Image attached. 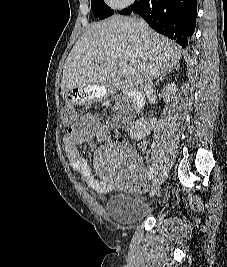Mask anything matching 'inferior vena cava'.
I'll return each instance as SVG.
<instances>
[{"label":"inferior vena cava","mask_w":227,"mask_h":267,"mask_svg":"<svg viewBox=\"0 0 227 267\" xmlns=\"http://www.w3.org/2000/svg\"><path fill=\"white\" fill-rule=\"evenodd\" d=\"M138 28L143 36L147 35L149 27L143 19H139ZM144 90H151L153 88V74H148L144 82Z\"/></svg>","instance_id":"inferior-vena-cava-1"}]
</instances>
